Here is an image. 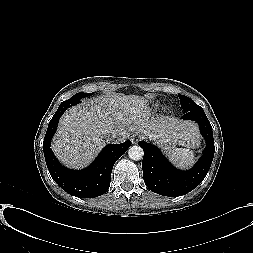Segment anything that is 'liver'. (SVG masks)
I'll return each instance as SVG.
<instances>
[{"label":"liver","mask_w":253,"mask_h":253,"mask_svg":"<svg viewBox=\"0 0 253 253\" xmlns=\"http://www.w3.org/2000/svg\"><path fill=\"white\" fill-rule=\"evenodd\" d=\"M139 131L158 144L169 140L193 148L200 142L198 127L175 117H151L148 101L137 95L109 93L70 108L60 119L52 142L56 157L66 166H87L108 143L112 132ZM127 136V137H128Z\"/></svg>","instance_id":"6515ba94"}]
</instances>
